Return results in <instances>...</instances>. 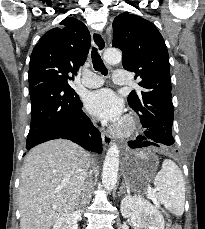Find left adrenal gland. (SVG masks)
<instances>
[{
  "mask_svg": "<svg viewBox=\"0 0 205 229\" xmlns=\"http://www.w3.org/2000/svg\"><path fill=\"white\" fill-rule=\"evenodd\" d=\"M124 188H125V185L122 184V186L120 187L119 195H120L121 193L125 192Z\"/></svg>",
  "mask_w": 205,
  "mask_h": 229,
  "instance_id": "obj_1",
  "label": "left adrenal gland"
}]
</instances>
